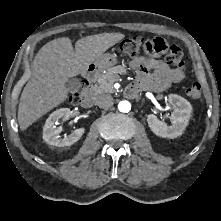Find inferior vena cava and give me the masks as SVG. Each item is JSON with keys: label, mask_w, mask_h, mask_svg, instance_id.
<instances>
[{"label": "inferior vena cava", "mask_w": 221, "mask_h": 221, "mask_svg": "<svg viewBox=\"0 0 221 221\" xmlns=\"http://www.w3.org/2000/svg\"><path fill=\"white\" fill-rule=\"evenodd\" d=\"M96 104L100 108L108 109L114 104V100L111 95L103 94L97 97Z\"/></svg>", "instance_id": "1"}]
</instances>
